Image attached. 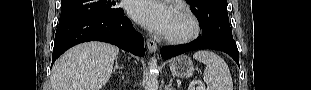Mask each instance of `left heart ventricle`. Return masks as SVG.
I'll list each match as a JSON object with an SVG mask.
<instances>
[{"mask_svg": "<svg viewBox=\"0 0 311 90\" xmlns=\"http://www.w3.org/2000/svg\"><path fill=\"white\" fill-rule=\"evenodd\" d=\"M186 30H187L186 22L177 14V12H173L172 20L166 33L178 34L183 33Z\"/></svg>", "mask_w": 311, "mask_h": 90, "instance_id": "1", "label": "left heart ventricle"}]
</instances>
